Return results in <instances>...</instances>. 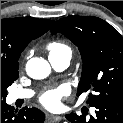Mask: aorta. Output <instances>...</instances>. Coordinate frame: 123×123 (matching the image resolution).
I'll use <instances>...</instances> for the list:
<instances>
[{
  "mask_svg": "<svg viewBox=\"0 0 123 123\" xmlns=\"http://www.w3.org/2000/svg\"><path fill=\"white\" fill-rule=\"evenodd\" d=\"M26 72L33 79H44L49 76L51 67L47 60L33 57L26 64Z\"/></svg>",
  "mask_w": 123,
  "mask_h": 123,
  "instance_id": "aorta-1",
  "label": "aorta"
}]
</instances>
